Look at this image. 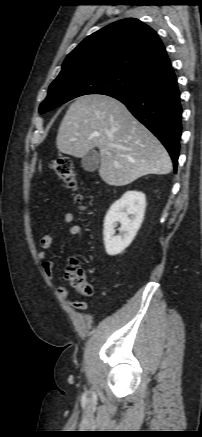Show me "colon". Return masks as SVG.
I'll return each instance as SVG.
<instances>
[{
  "mask_svg": "<svg viewBox=\"0 0 202 437\" xmlns=\"http://www.w3.org/2000/svg\"><path fill=\"white\" fill-rule=\"evenodd\" d=\"M52 171L65 183V185L76 192V199L81 202L83 197L78 193V180L76 171L70 158L59 157L50 162ZM65 278L70 286L81 296L92 294V287L87 280L84 270L80 267L77 259H71L65 271Z\"/></svg>",
  "mask_w": 202,
  "mask_h": 437,
  "instance_id": "obj_1",
  "label": "colon"
}]
</instances>
